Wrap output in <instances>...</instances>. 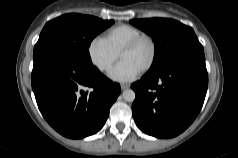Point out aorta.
I'll return each instance as SVG.
<instances>
[{
    "label": "aorta",
    "instance_id": "obj_1",
    "mask_svg": "<svg viewBox=\"0 0 238 158\" xmlns=\"http://www.w3.org/2000/svg\"><path fill=\"white\" fill-rule=\"evenodd\" d=\"M122 96L127 102H133L135 100V92L132 89L124 90Z\"/></svg>",
    "mask_w": 238,
    "mask_h": 158
}]
</instances>
